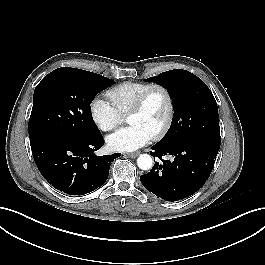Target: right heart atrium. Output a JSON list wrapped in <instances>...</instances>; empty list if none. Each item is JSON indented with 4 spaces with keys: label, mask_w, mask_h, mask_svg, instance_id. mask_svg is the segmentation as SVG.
I'll use <instances>...</instances> for the list:
<instances>
[{
    "label": "right heart atrium",
    "mask_w": 265,
    "mask_h": 265,
    "mask_svg": "<svg viewBox=\"0 0 265 265\" xmlns=\"http://www.w3.org/2000/svg\"><path fill=\"white\" fill-rule=\"evenodd\" d=\"M90 116L94 124L105 132L115 129L123 120L116 108L101 97L92 100Z\"/></svg>",
    "instance_id": "obj_1"
}]
</instances>
